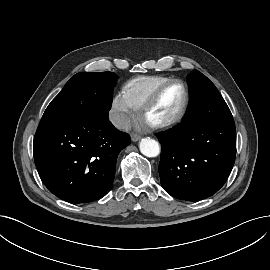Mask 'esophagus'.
<instances>
[{
	"label": "esophagus",
	"instance_id": "esophagus-1",
	"mask_svg": "<svg viewBox=\"0 0 270 270\" xmlns=\"http://www.w3.org/2000/svg\"><path fill=\"white\" fill-rule=\"evenodd\" d=\"M140 138H141V136L138 135V134L133 133L131 135V139H132L133 142H137L138 140H140Z\"/></svg>",
	"mask_w": 270,
	"mask_h": 270
}]
</instances>
